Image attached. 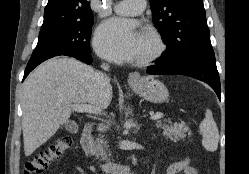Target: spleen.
<instances>
[{"mask_svg": "<svg viewBox=\"0 0 249 174\" xmlns=\"http://www.w3.org/2000/svg\"><path fill=\"white\" fill-rule=\"evenodd\" d=\"M199 128L203 147L210 152L216 151L219 143V131L210 109L206 110L205 118L201 121Z\"/></svg>", "mask_w": 249, "mask_h": 174, "instance_id": "obj_1", "label": "spleen"}]
</instances>
